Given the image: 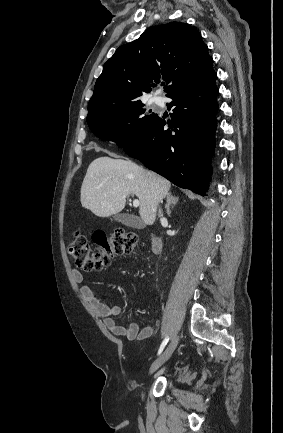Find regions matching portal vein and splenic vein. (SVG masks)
Listing matches in <instances>:
<instances>
[{"mask_svg": "<svg viewBox=\"0 0 283 433\" xmlns=\"http://www.w3.org/2000/svg\"><path fill=\"white\" fill-rule=\"evenodd\" d=\"M140 202L137 200V198H134L133 200V206H139Z\"/></svg>", "mask_w": 283, "mask_h": 433, "instance_id": "obj_1", "label": "portal vein and splenic vein"}]
</instances>
